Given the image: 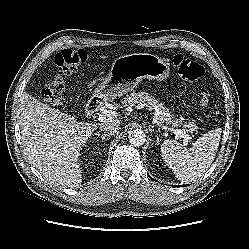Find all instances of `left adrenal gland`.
<instances>
[{
    "instance_id": "1",
    "label": "left adrenal gland",
    "mask_w": 249,
    "mask_h": 249,
    "mask_svg": "<svg viewBox=\"0 0 249 249\" xmlns=\"http://www.w3.org/2000/svg\"><path fill=\"white\" fill-rule=\"evenodd\" d=\"M155 136H156V144L159 145V135H158V133H156Z\"/></svg>"
}]
</instances>
